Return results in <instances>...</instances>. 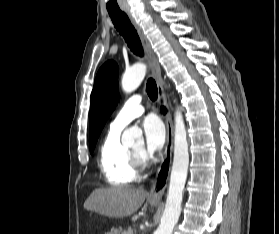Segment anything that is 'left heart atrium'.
<instances>
[{
	"mask_svg": "<svg viewBox=\"0 0 279 234\" xmlns=\"http://www.w3.org/2000/svg\"><path fill=\"white\" fill-rule=\"evenodd\" d=\"M145 136L146 150L152 154L160 150L165 142V129L161 120L154 116H147L142 122Z\"/></svg>",
	"mask_w": 279,
	"mask_h": 234,
	"instance_id": "1",
	"label": "left heart atrium"
}]
</instances>
